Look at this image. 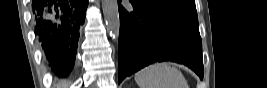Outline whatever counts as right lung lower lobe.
<instances>
[{
    "label": "right lung lower lobe",
    "mask_w": 267,
    "mask_h": 88,
    "mask_svg": "<svg viewBox=\"0 0 267 88\" xmlns=\"http://www.w3.org/2000/svg\"><path fill=\"white\" fill-rule=\"evenodd\" d=\"M88 0H33L34 32L53 71L72 69Z\"/></svg>",
    "instance_id": "98d812e1"
}]
</instances>
